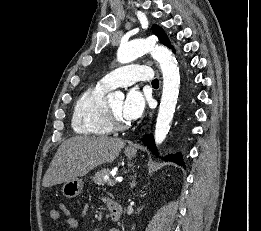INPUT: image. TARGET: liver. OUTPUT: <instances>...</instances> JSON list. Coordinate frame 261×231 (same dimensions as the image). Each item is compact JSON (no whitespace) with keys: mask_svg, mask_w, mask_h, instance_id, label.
<instances>
[{"mask_svg":"<svg viewBox=\"0 0 261 231\" xmlns=\"http://www.w3.org/2000/svg\"><path fill=\"white\" fill-rule=\"evenodd\" d=\"M125 141L107 136H75L58 148L43 177L42 186L51 187L86 175L98 165L114 161Z\"/></svg>","mask_w":261,"mask_h":231,"instance_id":"6515ba94","label":"liver"}]
</instances>
